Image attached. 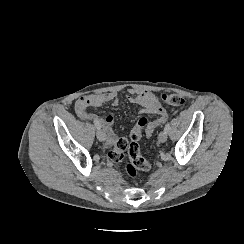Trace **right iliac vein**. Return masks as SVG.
I'll list each match as a JSON object with an SVG mask.
<instances>
[{
	"mask_svg": "<svg viewBox=\"0 0 244 244\" xmlns=\"http://www.w3.org/2000/svg\"><path fill=\"white\" fill-rule=\"evenodd\" d=\"M96 136L99 141H105L106 139L105 133L102 130H97Z\"/></svg>",
	"mask_w": 244,
	"mask_h": 244,
	"instance_id": "right-iliac-vein-1",
	"label": "right iliac vein"
}]
</instances>
